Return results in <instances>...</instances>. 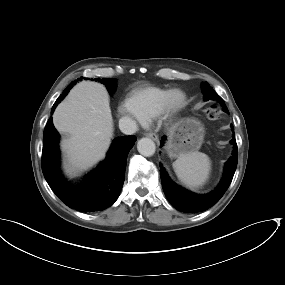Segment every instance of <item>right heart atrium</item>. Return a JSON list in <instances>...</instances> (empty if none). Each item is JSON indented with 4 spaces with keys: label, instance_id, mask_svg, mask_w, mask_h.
I'll use <instances>...</instances> for the list:
<instances>
[{
    "label": "right heart atrium",
    "instance_id": "d8ad5b80",
    "mask_svg": "<svg viewBox=\"0 0 285 285\" xmlns=\"http://www.w3.org/2000/svg\"><path fill=\"white\" fill-rule=\"evenodd\" d=\"M117 113L122 119H132L135 117V114L126 103H123L117 107Z\"/></svg>",
    "mask_w": 285,
    "mask_h": 285
}]
</instances>
